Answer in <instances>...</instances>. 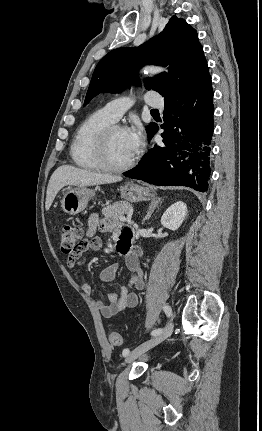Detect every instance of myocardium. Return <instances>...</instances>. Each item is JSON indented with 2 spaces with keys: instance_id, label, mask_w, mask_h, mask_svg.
Here are the masks:
<instances>
[{
  "instance_id": "1",
  "label": "myocardium",
  "mask_w": 262,
  "mask_h": 431,
  "mask_svg": "<svg viewBox=\"0 0 262 431\" xmlns=\"http://www.w3.org/2000/svg\"><path fill=\"white\" fill-rule=\"evenodd\" d=\"M117 130H126L119 124H111L105 127L99 134L96 147V158L101 168L108 172H123L132 168L138 159L135 154L131 160L122 165H113L108 156V145L112 134Z\"/></svg>"
}]
</instances>
